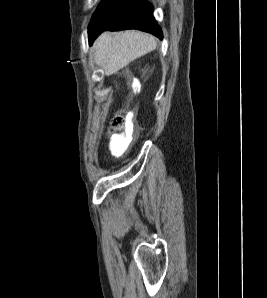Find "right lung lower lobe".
I'll list each match as a JSON object with an SVG mask.
<instances>
[{"label": "right lung lower lobe", "mask_w": 267, "mask_h": 298, "mask_svg": "<svg viewBox=\"0 0 267 298\" xmlns=\"http://www.w3.org/2000/svg\"><path fill=\"white\" fill-rule=\"evenodd\" d=\"M139 29L162 39L153 17L152 5L145 0H109L88 28L89 44L105 30Z\"/></svg>", "instance_id": "1"}]
</instances>
